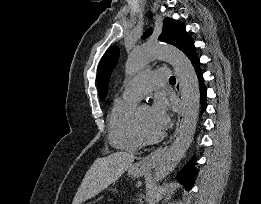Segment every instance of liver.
<instances>
[{
  "label": "liver",
  "instance_id": "obj_1",
  "mask_svg": "<svg viewBox=\"0 0 261 204\" xmlns=\"http://www.w3.org/2000/svg\"><path fill=\"white\" fill-rule=\"evenodd\" d=\"M135 156L126 152H115L97 158L86 172L72 204H82L115 182L127 171Z\"/></svg>",
  "mask_w": 261,
  "mask_h": 204
}]
</instances>
